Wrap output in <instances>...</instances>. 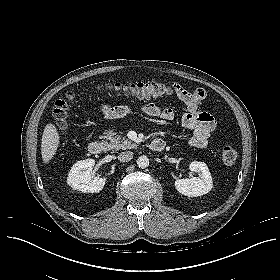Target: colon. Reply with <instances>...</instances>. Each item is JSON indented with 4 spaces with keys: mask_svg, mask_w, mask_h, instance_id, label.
I'll list each match as a JSON object with an SVG mask.
<instances>
[{
    "mask_svg": "<svg viewBox=\"0 0 280 280\" xmlns=\"http://www.w3.org/2000/svg\"><path fill=\"white\" fill-rule=\"evenodd\" d=\"M170 92L162 82L157 80L136 83L105 82L99 83L94 89L88 90L82 94L70 92L65 98L59 99L53 106V117L57 128L61 134L65 132L70 121L71 106L78 98H91L94 96L123 95L126 97H136L146 99L150 97L164 96ZM127 112L130 111L128 105H124ZM222 162L227 165H233L237 160V151L233 147H225L221 154Z\"/></svg>",
    "mask_w": 280,
    "mask_h": 280,
    "instance_id": "1",
    "label": "colon"
}]
</instances>
